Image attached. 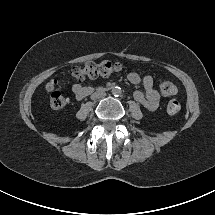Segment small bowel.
Listing matches in <instances>:
<instances>
[{"label":"small bowel","mask_w":215,"mask_h":215,"mask_svg":"<svg viewBox=\"0 0 215 215\" xmlns=\"http://www.w3.org/2000/svg\"><path fill=\"white\" fill-rule=\"evenodd\" d=\"M128 80L131 84H142L144 92H136L134 97L148 110H154L158 107L160 102V95L154 88V81L152 77L146 76L141 78L137 73H130ZM73 94L76 98L82 99L92 93V88L75 84L72 88ZM175 93V92H173ZM172 93V94H173Z\"/></svg>","instance_id":"1"}]
</instances>
